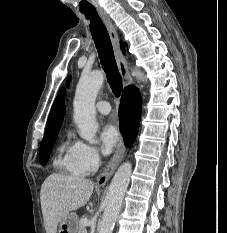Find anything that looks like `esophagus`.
I'll return each instance as SVG.
<instances>
[{"label":"esophagus","mask_w":227,"mask_h":233,"mask_svg":"<svg viewBox=\"0 0 227 233\" xmlns=\"http://www.w3.org/2000/svg\"><path fill=\"white\" fill-rule=\"evenodd\" d=\"M98 12H99V15L101 16L102 20L104 21V23L107 27V30L109 32V35H110V38H111V41L113 44V49H114V54L116 57L118 69H119L120 75L122 77L123 83H124V85H129L132 83V78L128 72L127 60L123 56L122 51L120 49L119 36H118L117 31H116V28H115L114 24L112 23L110 17L107 15V13L103 9H99ZM125 150H126V148L124 146L123 141L121 140L116 148V151H115L113 157L111 158V160L107 164L104 171L97 178V184L99 186H104L109 181V179L111 178V176L115 172L116 168L118 167V165L122 161L124 154H125Z\"/></svg>","instance_id":"esophagus-1"}]
</instances>
